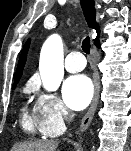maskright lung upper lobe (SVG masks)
<instances>
[{"label": "right lung upper lobe", "mask_w": 131, "mask_h": 151, "mask_svg": "<svg viewBox=\"0 0 131 151\" xmlns=\"http://www.w3.org/2000/svg\"><path fill=\"white\" fill-rule=\"evenodd\" d=\"M81 7L88 23V26L94 28L97 32V38L95 39V44L99 43L98 36H99V27L95 21V8H94V0H80ZM30 40H28L24 46V49L20 55V59L18 62L15 80H14V87L16 83H18L19 79L21 78L23 68L27 58V52L29 48Z\"/></svg>", "instance_id": "1"}]
</instances>
